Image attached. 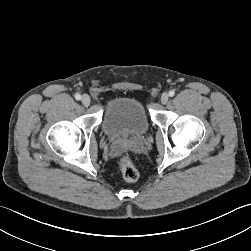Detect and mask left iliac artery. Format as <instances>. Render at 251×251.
Wrapping results in <instances>:
<instances>
[{
  "label": "left iliac artery",
  "instance_id": "obj_1",
  "mask_svg": "<svg viewBox=\"0 0 251 251\" xmlns=\"http://www.w3.org/2000/svg\"><path fill=\"white\" fill-rule=\"evenodd\" d=\"M174 95H175V91L174 90L169 91V96L170 97H173Z\"/></svg>",
  "mask_w": 251,
  "mask_h": 251
}]
</instances>
